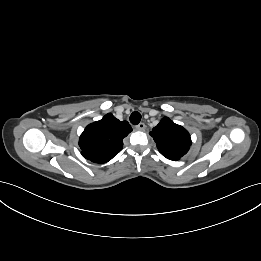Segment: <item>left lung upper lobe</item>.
Returning a JSON list of instances; mask_svg holds the SVG:
<instances>
[{"mask_svg": "<svg viewBox=\"0 0 261 261\" xmlns=\"http://www.w3.org/2000/svg\"><path fill=\"white\" fill-rule=\"evenodd\" d=\"M150 135L154 138L159 152L170 160H179L191 145L188 131L167 117L152 129Z\"/></svg>", "mask_w": 261, "mask_h": 261, "instance_id": "obj_1", "label": "left lung upper lobe"}]
</instances>
